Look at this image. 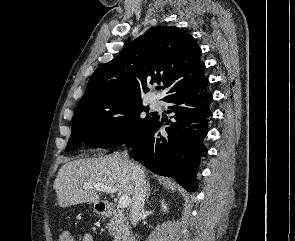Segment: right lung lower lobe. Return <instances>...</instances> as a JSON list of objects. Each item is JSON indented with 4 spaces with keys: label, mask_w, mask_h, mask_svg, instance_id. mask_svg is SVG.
<instances>
[{
    "label": "right lung lower lobe",
    "mask_w": 295,
    "mask_h": 241,
    "mask_svg": "<svg viewBox=\"0 0 295 241\" xmlns=\"http://www.w3.org/2000/svg\"><path fill=\"white\" fill-rule=\"evenodd\" d=\"M209 81L175 93L164 101L170 103L171 120L152 121L142 132L128 140L134 159L152 172L175 178L189 192L197 190L194 184L199 162L207 150L203 139L208 133L212 95ZM166 124L165 132L159 128Z\"/></svg>",
    "instance_id": "1"
}]
</instances>
